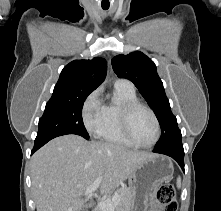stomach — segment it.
Segmentation results:
<instances>
[{
	"label": "stomach",
	"instance_id": "0dacf381",
	"mask_svg": "<svg viewBox=\"0 0 221 211\" xmlns=\"http://www.w3.org/2000/svg\"><path fill=\"white\" fill-rule=\"evenodd\" d=\"M173 175L172 162L160 155H152L137 163L130 176L133 205L131 211H146L150 198L159 185Z\"/></svg>",
	"mask_w": 221,
	"mask_h": 211
}]
</instances>
